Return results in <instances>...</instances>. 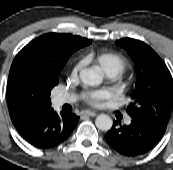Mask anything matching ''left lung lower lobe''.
Instances as JSON below:
<instances>
[{"label": "left lung lower lobe", "instance_id": "left-lung-lower-lobe-1", "mask_svg": "<svg viewBox=\"0 0 173 170\" xmlns=\"http://www.w3.org/2000/svg\"><path fill=\"white\" fill-rule=\"evenodd\" d=\"M130 125L113 127L105 135L107 143L125 156H138L150 151L162 138L166 129L157 124L136 117H131Z\"/></svg>", "mask_w": 173, "mask_h": 170}]
</instances>
